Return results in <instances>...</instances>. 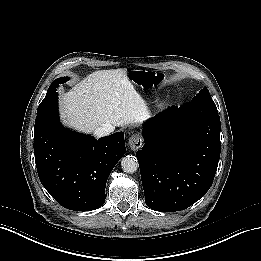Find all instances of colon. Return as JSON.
I'll use <instances>...</instances> for the list:
<instances>
[{
  "instance_id": "1",
  "label": "colon",
  "mask_w": 261,
  "mask_h": 261,
  "mask_svg": "<svg viewBox=\"0 0 261 261\" xmlns=\"http://www.w3.org/2000/svg\"><path fill=\"white\" fill-rule=\"evenodd\" d=\"M139 78L141 82L146 85H156L162 79V77L153 72H141Z\"/></svg>"
}]
</instances>
